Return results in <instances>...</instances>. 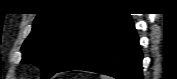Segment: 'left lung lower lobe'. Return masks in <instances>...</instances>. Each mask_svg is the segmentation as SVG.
I'll list each match as a JSON object with an SVG mask.
<instances>
[{
  "instance_id": "obj_1",
  "label": "left lung lower lobe",
  "mask_w": 177,
  "mask_h": 79,
  "mask_svg": "<svg viewBox=\"0 0 177 79\" xmlns=\"http://www.w3.org/2000/svg\"><path fill=\"white\" fill-rule=\"evenodd\" d=\"M142 53L134 23L125 13H107L56 72L86 70L117 79H142Z\"/></svg>"
}]
</instances>
